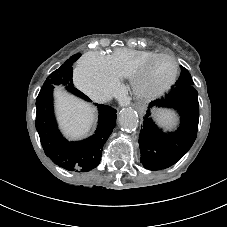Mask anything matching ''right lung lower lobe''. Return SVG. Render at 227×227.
I'll use <instances>...</instances> for the list:
<instances>
[{"label": "right lung lower lobe", "mask_w": 227, "mask_h": 227, "mask_svg": "<svg viewBox=\"0 0 227 227\" xmlns=\"http://www.w3.org/2000/svg\"><path fill=\"white\" fill-rule=\"evenodd\" d=\"M71 93L90 101L74 86L66 87ZM53 86L43 87L36 100V129L44 152L56 165L76 172H86L100 163L105 142L116 125V110L98 105L99 122L95 134L83 141H67L57 128L53 113Z\"/></svg>", "instance_id": "1"}]
</instances>
